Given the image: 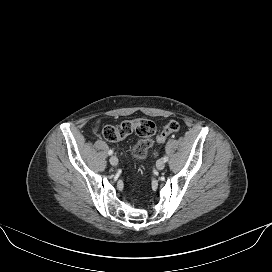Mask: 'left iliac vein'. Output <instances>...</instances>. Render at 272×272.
I'll return each mask as SVG.
<instances>
[{
	"mask_svg": "<svg viewBox=\"0 0 272 272\" xmlns=\"http://www.w3.org/2000/svg\"><path fill=\"white\" fill-rule=\"evenodd\" d=\"M165 167V162L162 159L157 160L156 162V168L158 170H163Z\"/></svg>",
	"mask_w": 272,
	"mask_h": 272,
	"instance_id": "4c4485c4",
	"label": "left iliac vein"
}]
</instances>
